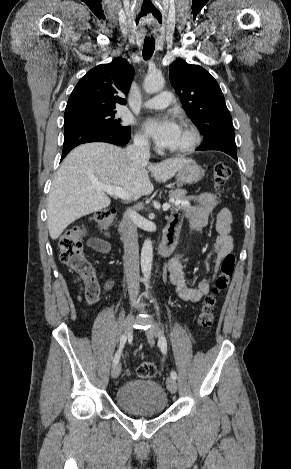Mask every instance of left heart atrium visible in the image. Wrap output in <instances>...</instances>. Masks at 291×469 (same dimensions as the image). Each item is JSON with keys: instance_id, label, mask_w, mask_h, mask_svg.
<instances>
[{"instance_id": "39dd6f15", "label": "left heart atrium", "mask_w": 291, "mask_h": 469, "mask_svg": "<svg viewBox=\"0 0 291 469\" xmlns=\"http://www.w3.org/2000/svg\"><path fill=\"white\" fill-rule=\"evenodd\" d=\"M143 127L158 146L165 148L173 144L179 131L178 124L168 116L148 118Z\"/></svg>"}]
</instances>
